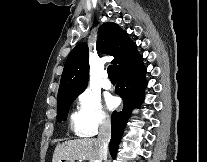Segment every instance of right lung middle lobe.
Here are the masks:
<instances>
[{"instance_id": "dd1d6c3e", "label": "right lung middle lobe", "mask_w": 207, "mask_h": 162, "mask_svg": "<svg viewBox=\"0 0 207 162\" xmlns=\"http://www.w3.org/2000/svg\"><path fill=\"white\" fill-rule=\"evenodd\" d=\"M77 96H69L58 99V121L66 120L68 110Z\"/></svg>"}]
</instances>
